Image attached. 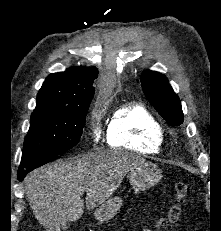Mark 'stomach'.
<instances>
[{"label": "stomach", "mask_w": 221, "mask_h": 231, "mask_svg": "<svg viewBox=\"0 0 221 231\" xmlns=\"http://www.w3.org/2000/svg\"><path fill=\"white\" fill-rule=\"evenodd\" d=\"M161 177V170L157 165L144 162L131 170L130 184L135 191H143L157 184ZM122 204V198L112 197L96 209L94 216L100 222L110 220L117 214Z\"/></svg>", "instance_id": "stomach-1"}]
</instances>
